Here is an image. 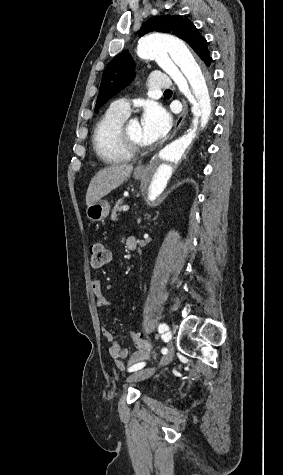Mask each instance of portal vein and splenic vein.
Segmentation results:
<instances>
[{
  "instance_id": "portal-vein-and-splenic-vein-1",
  "label": "portal vein and splenic vein",
  "mask_w": 283,
  "mask_h": 475,
  "mask_svg": "<svg viewBox=\"0 0 283 475\" xmlns=\"http://www.w3.org/2000/svg\"><path fill=\"white\" fill-rule=\"evenodd\" d=\"M122 210L123 212H127V210H129V206H122Z\"/></svg>"
}]
</instances>
